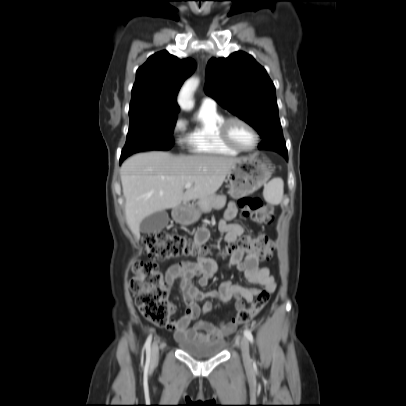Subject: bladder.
I'll return each mask as SVG.
<instances>
[{"label": "bladder", "instance_id": "1", "mask_svg": "<svg viewBox=\"0 0 406 406\" xmlns=\"http://www.w3.org/2000/svg\"><path fill=\"white\" fill-rule=\"evenodd\" d=\"M180 349L196 358H208L217 355L223 345L214 344L213 342L195 343L191 341L180 340L178 341Z\"/></svg>", "mask_w": 406, "mask_h": 406}]
</instances>
